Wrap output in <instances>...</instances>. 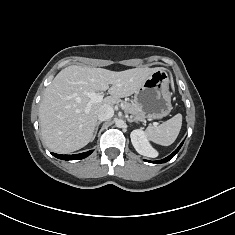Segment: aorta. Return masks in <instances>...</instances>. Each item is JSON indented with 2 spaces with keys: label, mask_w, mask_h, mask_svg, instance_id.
Instances as JSON below:
<instances>
[{
  "label": "aorta",
  "mask_w": 235,
  "mask_h": 235,
  "mask_svg": "<svg viewBox=\"0 0 235 235\" xmlns=\"http://www.w3.org/2000/svg\"><path fill=\"white\" fill-rule=\"evenodd\" d=\"M115 125L118 128H122L124 126V121L122 119H117Z\"/></svg>",
  "instance_id": "1"
}]
</instances>
